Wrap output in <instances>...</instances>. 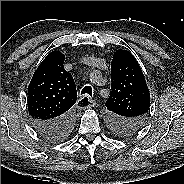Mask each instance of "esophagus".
Masks as SVG:
<instances>
[{
    "mask_svg": "<svg viewBox=\"0 0 184 184\" xmlns=\"http://www.w3.org/2000/svg\"><path fill=\"white\" fill-rule=\"evenodd\" d=\"M95 105L96 102L91 98H89V96L87 95L80 97L77 101V107L79 109H88L94 107Z\"/></svg>",
    "mask_w": 184,
    "mask_h": 184,
    "instance_id": "1",
    "label": "esophagus"
}]
</instances>
